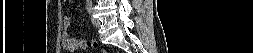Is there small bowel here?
Listing matches in <instances>:
<instances>
[{
  "label": "small bowel",
  "mask_w": 253,
  "mask_h": 53,
  "mask_svg": "<svg viewBox=\"0 0 253 53\" xmlns=\"http://www.w3.org/2000/svg\"><path fill=\"white\" fill-rule=\"evenodd\" d=\"M62 27H63V46L65 47V49L69 50V51H74L75 49H78V39L72 37L71 35H69V33L67 32V29L69 27V18L68 17H64L62 20Z\"/></svg>",
  "instance_id": "small-bowel-1"
}]
</instances>
